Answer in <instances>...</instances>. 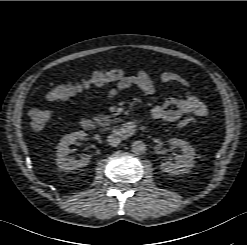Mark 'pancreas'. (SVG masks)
Listing matches in <instances>:
<instances>
[{
    "label": "pancreas",
    "mask_w": 247,
    "mask_h": 245,
    "mask_svg": "<svg viewBox=\"0 0 247 245\" xmlns=\"http://www.w3.org/2000/svg\"><path fill=\"white\" fill-rule=\"evenodd\" d=\"M94 120L96 123L100 126L107 127L109 126L112 122H115V120L111 119V116L109 115H98L94 117Z\"/></svg>",
    "instance_id": "1"
}]
</instances>
